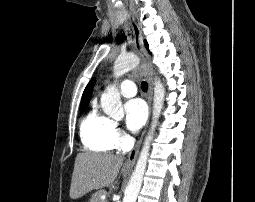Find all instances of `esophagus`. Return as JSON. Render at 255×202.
Here are the masks:
<instances>
[{
	"mask_svg": "<svg viewBox=\"0 0 255 202\" xmlns=\"http://www.w3.org/2000/svg\"><path fill=\"white\" fill-rule=\"evenodd\" d=\"M131 25H132L133 34H134L135 46H136V49H137V52H138L139 56L141 57V60H142V65L141 66L145 71L146 78H147L148 85H149L148 95H147V102H148V105H149V110L151 111L152 95H153L151 65H150L148 54H147L146 49L144 47L142 32H141L140 27H139V25L137 24V22L134 18L131 19ZM144 134H145V130L143 131L140 139L137 141L135 147L129 153L128 158H127V165L128 166L134 165V163L137 159L138 153H139V149H140Z\"/></svg>",
	"mask_w": 255,
	"mask_h": 202,
	"instance_id": "34e87169",
	"label": "esophagus"
}]
</instances>
